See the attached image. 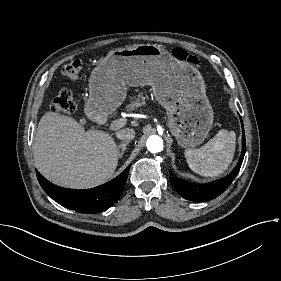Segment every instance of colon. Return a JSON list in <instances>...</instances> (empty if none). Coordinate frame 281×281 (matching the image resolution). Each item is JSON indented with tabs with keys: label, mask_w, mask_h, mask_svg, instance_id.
Segmentation results:
<instances>
[{
	"label": "colon",
	"mask_w": 281,
	"mask_h": 281,
	"mask_svg": "<svg viewBox=\"0 0 281 281\" xmlns=\"http://www.w3.org/2000/svg\"><path fill=\"white\" fill-rule=\"evenodd\" d=\"M174 57L180 61L190 62L192 64L199 63V58L190 54L182 48H176ZM83 62L81 60H73L62 68V75L71 81L78 80L81 77ZM76 109V102L71 91L63 90L52 100V111L56 114H72Z\"/></svg>",
	"instance_id": "1"
}]
</instances>
